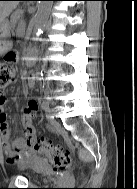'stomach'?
Masks as SVG:
<instances>
[{"label": "stomach", "instance_id": "obj_1", "mask_svg": "<svg viewBox=\"0 0 137 189\" xmlns=\"http://www.w3.org/2000/svg\"><path fill=\"white\" fill-rule=\"evenodd\" d=\"M8 34H9V24L7 21H5L2 29L0 28V54L4 53L10 46L9 41L6 40Z\"/></svg>", "mask_w": 137, "mask_h": 189}]
</instances>
